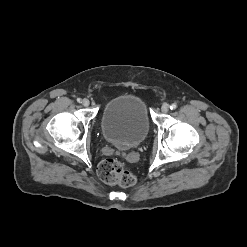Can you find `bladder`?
I'll list each match as a JSON object with an SVG mask.
<instances>
[{
    "mask_svg": "<svg viewBox=\"0 0 247 247\" xmlns=\"http://www.w3.org/2000/svg\"><path fill=\"white\" fill-rule=\"evenodd\" d=\"M101 129L105 140L118 149L137 146L150 130L146 103L130 94L113 98L103 108Z\"/></svg>",
    "mask_w": 247,
    "mask_h": 247,
    "instance_id": "31cf9c89",
    "label": "bladder"
}]
</instances>
